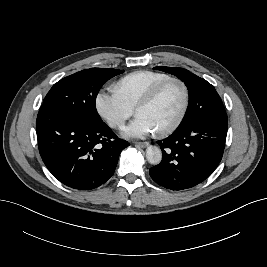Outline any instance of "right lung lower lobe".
<instances>
[{"label": "right lung lower lobe", "instance_id": "1", "mask_svg": "<svg viewBox=\"0 0 267 267\" xmlns=\"http://www.w3.org/2000/svg\"><path fill=\"white\" fill-rule=\"evenodd\" d=\"M36 131L41 158L64 185L91 190L114 173L121 151L129 146L104 122L91 124L75 115L43 104Z\"/></svg>", "mask_w": 267, "mask_h": 267}]
</instances>
